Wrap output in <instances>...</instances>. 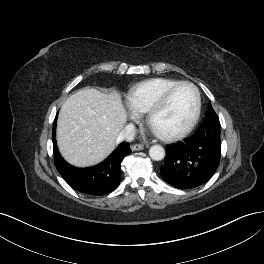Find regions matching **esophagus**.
<instances>
[{
    "label": "esophagus",
    "mask_w": 264,
    "mask_h": 264,
    "mask_svg": "<svg viewBox=\"0 0 264 264\" xmlns=\"http://www.w3.org/2000/svg\"><path fill=\"white\" fill-rule=\"evenodd\" d=\"M143 149H144L143 144H134L131 146L132 151H139V150H143Z\"/></svg>",
    "instance_id": "34e87169"
}]
</instances>
